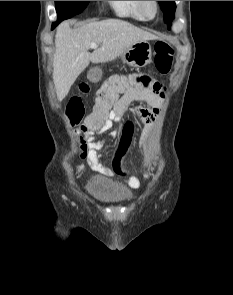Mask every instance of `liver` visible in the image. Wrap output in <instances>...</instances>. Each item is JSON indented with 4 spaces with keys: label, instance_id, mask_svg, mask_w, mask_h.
Here are the masks:
<instances>
[{
    "label": "liver",
    "instance_id": "6515ba94",
    "mask_svg": "<svg viewBox=\"0 0 233 295\" xmlns=\"http://www.w3.org/2000/svg\"><path fill=\"white\" fill-rule=\"evenodd\" d=\"M154 39H157L155 35L118 19L91 22L76 29H72L68 21L62 22L55 35L53 60V81L58 100L67 96L90 61L95 64L115 60L132 44ZM91 42L101 47L90 53Z\"/></svg>",
    "mask_w": 233,
    "mask_h": 295
}]
</instances>
